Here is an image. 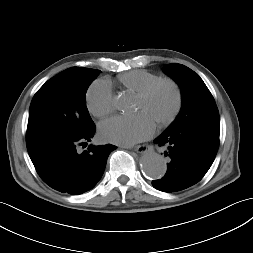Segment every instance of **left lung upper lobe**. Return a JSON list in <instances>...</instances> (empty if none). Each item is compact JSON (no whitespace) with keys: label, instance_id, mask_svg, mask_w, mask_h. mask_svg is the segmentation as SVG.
<instances>
[{"label":"left lung upper lobe","instance_id":"obj_1","mask_svg":"<svg viewBox=\"0 0 253 253\" xmlns=\"http://www.w3.org/2000/svg\"><path fill=\"white\" fill-rule=\"evenodd\" d=\"M164 72L179 84L182 93L181 111L168 130L204 120L220 122L213 96L193 70L181 64H168Z\"/></svg>","mask_w":253,"mask_h":253}]
</instances>
